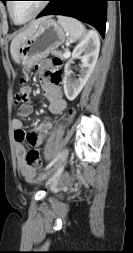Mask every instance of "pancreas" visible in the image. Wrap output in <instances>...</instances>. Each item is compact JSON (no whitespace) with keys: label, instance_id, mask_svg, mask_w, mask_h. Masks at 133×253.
Wrapping results in <instances>:
<instances>
[{"label":"pancreas","instance_id":"1","mask_svg":"<svg viewBox=\"0 0 133 253\" xmlns=\"http://www.w3.org/2000/svg\"><path fill=\"white\" fill-rule=\"evenodd\" d=\"M52 54L58 58H60L61 60L65 59L64 54H62L61 52L58 51H53Z\"/></svg>","mask_w":133,"mask_h":253}]
</instances>
